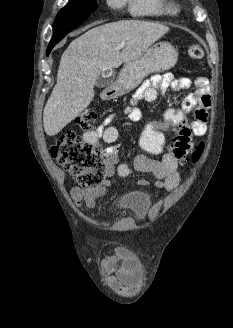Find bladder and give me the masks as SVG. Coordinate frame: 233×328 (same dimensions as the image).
<instances>
[{
	"mask_svg": "<svg viewBox=\"0 0 233 328\" xmlns=\"http://www.w3.org/2000/svg\"><path fill=\"white\" fill-rule=\"evenodd\" d=\"M151 204L150 195L146 192H133L126 195L121 206L124 209L132 211L137 216L144 215Z\"/></svg>",
	"mask_w": 233,
	"mask_h": 328,
	"instance_id": "obj_1",
	"label": "bladder"
}]
</instances>
